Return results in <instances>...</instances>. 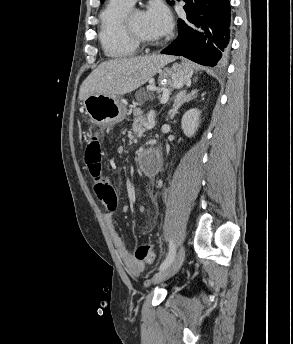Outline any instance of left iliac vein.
<instances>
[{
  "label": "left iliac vein",
  "mask_w": 293,
  "mask_h": 344,
  "mask_svg": "<svg viewBox=\"0 0 293 344\" xmlns=\"http://www.w3.org/2000/svg\"><path fill=\"white\" fill-rule=\"evenodd\" d=\"M185 258L184 247H181L172 263L163 270L157 272L151 279L152 284L163 282L174 276L180 269Z\"/></svg>",
  "instance_id": "left-iliac-vein-1"
}]
</instances>
